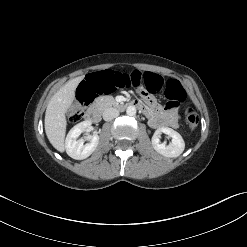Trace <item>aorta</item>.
<instances>
[{
	"mask_svg": "<svg viewBox=\"0 0 247 247\" xmlns=\"http://www.w3.org/2000/svg\"><path fill=\"white\" fill-rule=\"evenodd\" d=\"M126 113L129 116H134L136 114L135 106H128L127 109H126Z\"/></svg>",
	"mask_w": 247,
	"mask_h": 247,
	"instance_id": "obj_1",
	"label": "aorta"
}]
</instances>
